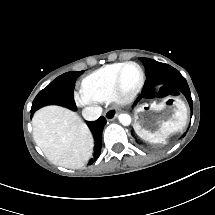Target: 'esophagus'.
<instances>
[{
  "instance_id": "obj_1",
  "label": "esophagus",
  "mask_w": 215,
  "mask_h": 215,
  "mask_svg": "<svg viewBox=\"0 0 215 215\" xmlns=\"http://www.w3.org/2000/svg\"><path fill=\"white\" fill-rule=\"evenodd\" d=\"M104 116L107 121H113L117 117V111L115 108H110L104 113Z\"/></svg>"
}]
</instances>
